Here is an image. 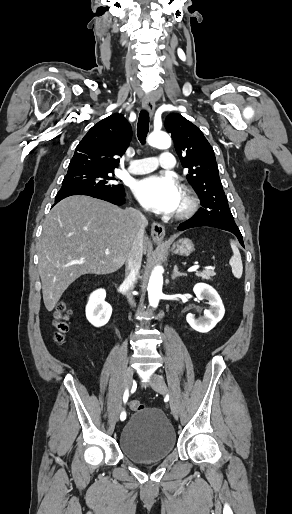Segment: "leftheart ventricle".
Listing matches in <instances>:
<instances>
[{"instance_id": "1", "label": "left heart ventricle", "mask_w": 292, "mask_h": 514, "mask_svg": "<svg viewBox=\"0 0 292 514\" xmlns=\"http://www.w3.org/2000/svg\"><path fill=\"white\" fill-rule=\"evenodd\" d=\"M180 205H181V199H180V203H179V206H180ZM179 206H178V207H179Z\"/></svg>"}]
</instances>
